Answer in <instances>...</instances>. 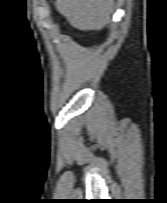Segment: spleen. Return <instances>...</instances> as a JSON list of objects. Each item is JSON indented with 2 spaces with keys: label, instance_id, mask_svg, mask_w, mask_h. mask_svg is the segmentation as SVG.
<instances>
[{
  "label": "spleen",
  "instance_id": "1",
  "mask_svg": "<svg viewBox=\"0 0 167 203\" xmlns=\"http://www.w3.org/2000/svg\"><path fill=\"white\" fill-rule=\"evenodd\" d=\"M55 7L74 28L100 30L109 22L113 0H56Z\"/></svg>",
  "mask_w": 167,
  "mask_h": 203
}]
</instances>
